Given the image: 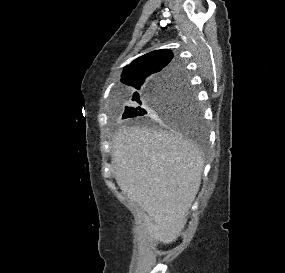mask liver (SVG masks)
Returning a JSON list of instances; mask_svg holds the SVG:
<instances>
[{
    "label": "liver",
    "instance_id": "6515ba94",
    "mask_svg": "<svg viewBox=\"0 0 285 273\" xmlns=\"http://www.w3.org/2000/svg\"><path fill=\"white\" fill-rule=\"evenodd\" d=\"M113 161L119 188L154 221L150 235L175 241L200 188L203 154L179 135L123 127L113 140Z\"/></svg>",
    "mask_w": 285,
    "mask_h": 273
}]
</instances>
